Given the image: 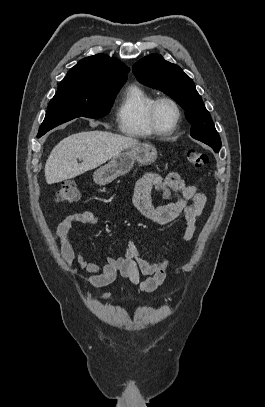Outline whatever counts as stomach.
<instances>
[{
  "label": "stomach",
  "instance_id": "stomach-1",
  "mask_svg": "<svg viewBox=\"0 0 265 407\" xmlns=\"http://www.w3.org/2000/svg\"><path fill=\"white\" fill-rule=\"evenodd\" d=\"M157 159L155 147L149 143L134 145L114 156L111 161L97 169L93 174V180L98 185H106L119 176L130 172L134 162L150 164Z\"/></svg>",
  "mask_w": 265,
  "mask_h": 407
}]
</instances>
